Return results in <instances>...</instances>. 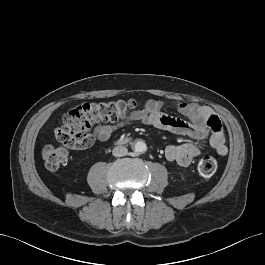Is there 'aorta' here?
Segmentation results:
<instances>
[{"mask_svg": "<svg viewBox=\"0 0 265 265\" xmlns=\"http://www.w3.org/2000/svg\"><path fill=\"white\" fill-rule=\"evenodd\" d=\"M133 150L137 153H144L147 150L146 143L144 141H137L133 146Z\"/></svg>", "mask_w": 265, "mask_h": 265, "instance_id": "1", "label": "aorta"}]
</instances>
